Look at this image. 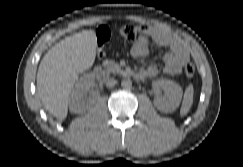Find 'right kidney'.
I'll return each mask as SVG.
<instances>
[{
    "label": "right kidney",
    "mask_w": 243,
    "mask_h": 167,
    "mask_svg": "<svg viewBox=\"0 0 243 167\" xmlns=\"http://www.w3.org/2000/svg\"><path fill=\"white\" fill-rule=\"evenodd\" d=\"M94 83L92 74L83 75L75 84L69 96V108L72 113H83L89 109L94 102L86 103V93Z\"/></svg>",
    "instance_id": "ca27d5eb"
}]
</instances>
